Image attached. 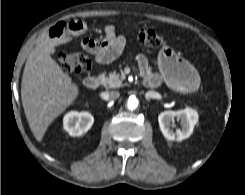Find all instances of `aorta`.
Segmentation results:
<instances>
[{
    "label": "aorta",
    "instance_id": "obj_1",
    "mask_svg": "<svg viewBox=\"0 0 245 195\" xmlns=\"http://www.w3.org/2000/svg\"><path fill=\"white\" fill-rule=\"evenodd\" d=\"M138 99L135 96H130L127 101V108L129 110H134L138 107Z\"/></svg>",
    "mask_w": 245,
    "mask_h": 195
}]
</instances>
